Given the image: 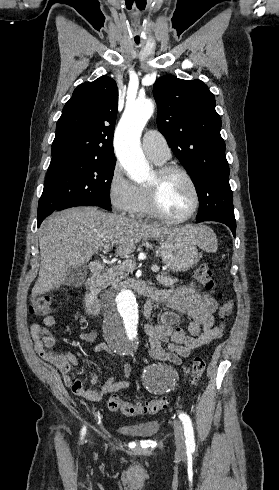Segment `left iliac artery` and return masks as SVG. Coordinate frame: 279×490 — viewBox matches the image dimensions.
<instances>
[{
    "label": "left iliac artery",
    "instance_id": "obj_1",
    "mask_svg": "<svg viewBox=\"0 0 279 490\" xmlns=\"http://www.w3.org/2000/svg\"><path fill=\"white\" fill-rule=\"evenodd\" d=\"M179 418L184 426V434L186 437L185 443L188 450H195V441L192 423L188 415L185 413H180Z\"/></svg>",
    "mask_w": 279,
    "mask_h": 490
}]
</instances>
